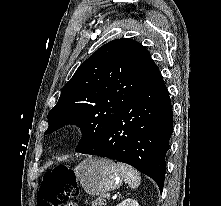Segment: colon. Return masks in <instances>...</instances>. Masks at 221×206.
Instances as JSON below:
<instances>
[{
    "instance_id": "1",
    "label": "colon",
    "mask_w": 221,
    "mask_h": 206,
    "mask_svg": "<svg viewBox=\"0 0 221 206\" xmlns=\"http://www.w3.org/2000/svg\"><path fill=\"white\" fill-rule=\"evenodd\" d=\"M77 193L74 171L59 166L48 172L41 187L38 206H66L67 201Z\"/></svg>"
}]
</instances>
